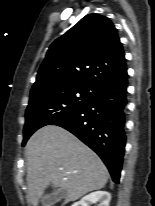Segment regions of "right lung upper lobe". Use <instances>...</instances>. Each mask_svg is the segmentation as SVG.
Masks as SVG:
<instances>
[{
	"label": "right lung upper lobe",
	"mask_w": 155,
	"mask_h": 206,
	"mask_svg": "<svg viewBox=\"0 0 155 206\" xmlns=\"http://www.w3.org/2000/svg\"><path fill=\"white\" fill-rule=\"evenodd\" d=\"M126 72L114 24L107 17L89 14L51 44L30 95L73 85L99 90Z\"/></svg>",
	"instance_id": "obj_1"
}]
</instances>
